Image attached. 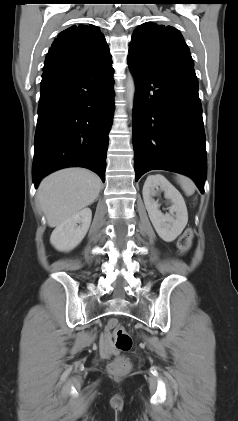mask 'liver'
Wrapping results in <instances>:
<instances>
[{"instance_id": "obj_1", "label": "liver", "mask_w": 238, "mask_h": 421, "mask_svg": "<svg viewBox=\"0 0 238 421\" xmlns=\"http://www.w3.org/2000/svg\"><path fill=\"white\" fill-rule=\"evenodd\" d=\"M101 180L83 168H68L44 178L37 191L38 204L50 227H56L99 195Z\"/></svg>"}]
</instances>
